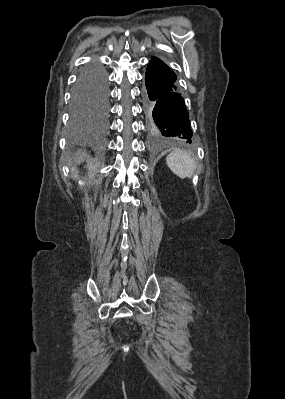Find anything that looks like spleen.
<instances>
[{
  "instance_id": "spleen-1",
  "label": "spleen",
  "mask_w": 285,
  "mask_h": 399,
  "mask_svg": "<svg viewBox=\"0 0 285 399\" xmlns=\"http://www.w3.org/2000/svg\"><path fill=\"white\" fill-rule=\"evenodd\" d=\"M166 163L170 170L178 177L190 178L195 171V162L191 155L184 150L175 149L166 157Z\"/></svg>"
}]
</instances>
